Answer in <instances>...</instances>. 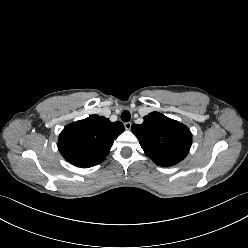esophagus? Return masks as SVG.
Listing matches in <instances>:
<instances>
[{
  "label": "esophagus",
  "instance_id": "esophagus-1",
  "mask_svg": "<svg viewBox=\"0 0 248 248\" xmlns=\"http://www.w3.org/2000/svg\"><path fill=\"white\" fill-rule=\"evenodd\" d=\"M131 126H132V124L130 122H125L124 123V127H125L126 130H130Z\"/></svg>",
  "mask_w": 248,
  "mask_h": 248
}]
</instances>
